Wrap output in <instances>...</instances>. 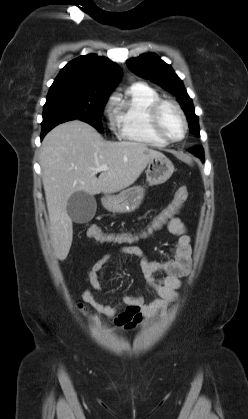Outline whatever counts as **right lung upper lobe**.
<instances>
[{
	"label": "right lung upper lobe",
	"mask_w": 248,
	"mask_h": 419,
	"mask_svg": "<svg viewBox=\"0 0 248 419\" xmlns=\"http://www.w3.org/2000/svg\"><path fill=\"white\" fill-rule=\"evenodd\" d=\"M122 76L121 68L95 54L80 56L61 70L50 89H72L96 94H110Z\"/></svg>",
	"instance_id": "right-lung-upper-lobe-1"
}]
</instances>
